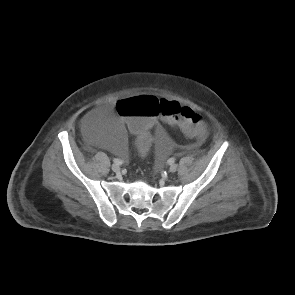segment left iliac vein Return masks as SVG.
<instances>
[{
    "mask_svg": "<svg viewBox=\"0 0 295 295\" xmlns=\"http://www.w3.org/2000/svg\"><path fill=\"white\" fill-rule=\"evenodd\" d=\"M177 169H178V165H177V164H171L170 167H169V171H170L171 173L176 172Z\"/></svg>",
    "mask_w": 295,
    "mask_h": 295,
    "instance_id": "1",
    "label": "left iliac vein"
}]
</instances>
